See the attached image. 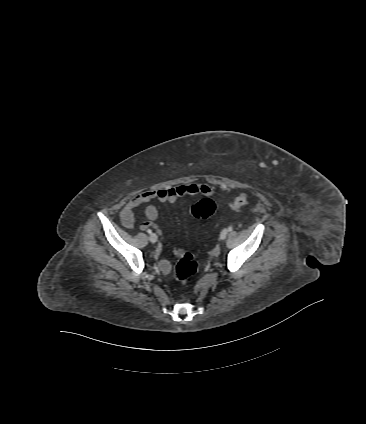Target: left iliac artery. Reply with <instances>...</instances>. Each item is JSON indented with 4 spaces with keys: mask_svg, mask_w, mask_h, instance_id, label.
Wrapping results in <instances>:
<instances>
[{
    "mask_svg": "<svg viewBox=\"0 0 366 424\" xmlns=\"http://www.w3.org/2000/svg\"><path fill=\"white\" fill-rule=\"evenodd\" d=\"M232 230H233V228H232V227H229V228H228V231H232Z\"/></svg>",
    "mask_w": 366,
    "mask_h": 424,
    "instance_id": "44dca946",
    "label": "left iliac artery"
}]
</instances>
